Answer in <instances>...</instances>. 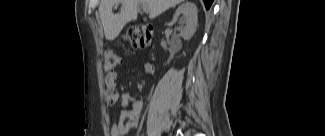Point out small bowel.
<instances>
[{
    "instance_id": "1",
    "label": "small bowel",
    "mask_w": 325,
    "mask_h": 136,
    "mask_svg": "<svg viewBox=\"0 0 325 136\" xmlns=\"http://www.w3.org/2000/svg\"><path fill=\"white\" fill-rule=\"evenodd\" d=\"M144 69L150 75L155 73V66L151 63H146ZM117 81L118 75L115 72L105 76V85L107 87L106 103L108 105H114L120 99L119 119L118 122L111 126L110 135L124 136L138 126L143 102L141 99L127 92L119 95Z\"/></svg>"
}]
</instances>
